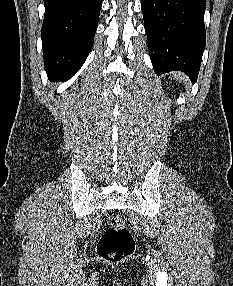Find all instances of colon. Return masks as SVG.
I'll list each match as a JSON object with an SVG mask.
<instances>
[{"mask_svg":"<svg viewBox=\"0 0 233 286\" xmlns=\"http://www.w3.org/2000/svg\"><path fill=\"white\" fill-rule=\"evenodd\" d=\"M135 249V240L131 231L125 226L119 214L107 218V228L97 245L101 259L116 263L128 258Z\"/></svg>","mask_w":233,"mask_h":286,"instance_id":"obj_1","label":"colon"}]
</instances>
